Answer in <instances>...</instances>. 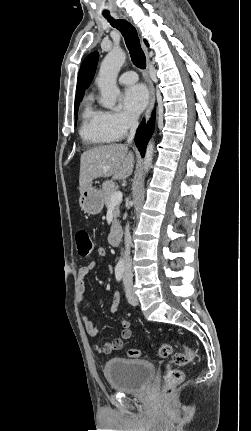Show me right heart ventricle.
Returning <instances> with one entry per match:
<instances>
[{"label": "right heart ventricle", "instance_id": "e07e8e85", "mask_svg": "<svg viewBox=\"0 0 251 431\" xmlns=\"http://www.w3.org/2000/svg\"><path fill=\"white\" fill-rule=\"evenodd\" d=\"M81 118L80 135L84 141L92 144H107L116 140L107 129L105 112L97 109L90 99H87L84 104Z\"/></svg>", "mask_w": 251, "mask_h": 431}]
</instances>
